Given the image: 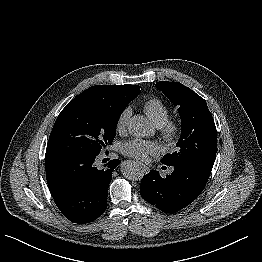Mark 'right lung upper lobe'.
Here are the masks:
<instances>
[{
    "mask_svg": "<svg viewBox=\"0 0 262 262\" xmlns=\"http://www.w3.org/2000/svg\"><path fill=\"white\" fill-rule=\"evenodd\" d=\"M83 92L95 94L104 100L111 102H125L127 100L135 99L140 94V86L130 84L97 85L92 86Z\"/></svg>",
    "mask_w": 262,
    "mask_h": 262,
    "instance_id": "right-lung-upper-lobe-1",
    "label": "right lung upper lobe"
}]
</instances>
